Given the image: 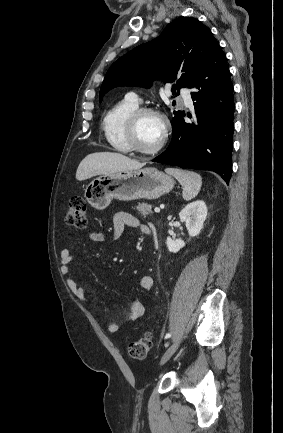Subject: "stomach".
Segmentation results:
<instances>
[{
    "instance_id": "obj_1",
    "label": "stomach",
    "mask_w": 283,
    "mask_h": 433,
    "mask_svg": "<svg viewBox=\"0 0 283 433\" xmlns=\"http://www.w3.org/2000/svg\"><path fill=\"white\" fill-rule=\"evenodd\" d=\"M174 180L169 174L157 168L121 170L112 174H101L84 188V196L94 208H106L112 198L137 200V198H159L170 192Z\"/></svg>"
}]
</instances>
